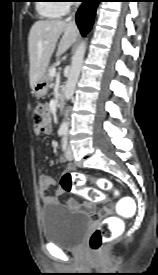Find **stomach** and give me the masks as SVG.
Masks as SVG:
<instances>
[{
	"label": "stomach",
	"instance_id": "0dacf381",
	"mask_svg": "<svg viewBox=\"0 0 158 275\" xmlns=\"http://www.w3.org/2000/svg\"><path fill=\"white\" fill-rule=\"evenodd\" d=\"M49 80L47 74L43 75L41 79L33 87V92L37 97H43L48 91Z\"/></svg>",
	"mask_w": 158,
	"mask_h": 275
}]
</instances>
